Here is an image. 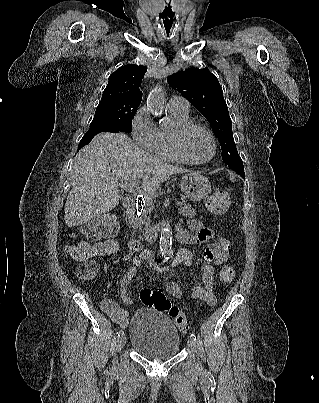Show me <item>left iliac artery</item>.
Returning <instances> with one entry per match:
<instances>
[{"label": "left iliac artery", "mask_w": 319, "mask_h": 403, "mask_svg": "<svg viewBox=\"0 0 319 403\" xmlns=\"http://www.w3.org/2000/svg\"><path fill=\"white\" fill-rule=\"evenodd\" d=\"M190 337L193 338L194 340H196V335H195V334L192 333V334L190 335Z\"/></svg>", "instance_id": "left-iliac-artery-1"}]
</instances>
